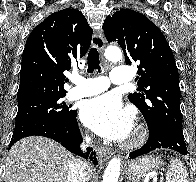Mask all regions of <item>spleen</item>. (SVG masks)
<instances>
[{"label": "spleen", "instance_id": "spleen-1", "mask_svg": "<svg viewBox=\"0 0 196 182\" xmlns=\"http://www.w3.org/2000/svg\"><path fill=\"white\" fill-rule=\"evenodd\" d=\"M166 182H189L187 170L179 159H171L166 174Z\"/></svg>", "mask_w": 196, "mask_h": 182}]
</instances>
